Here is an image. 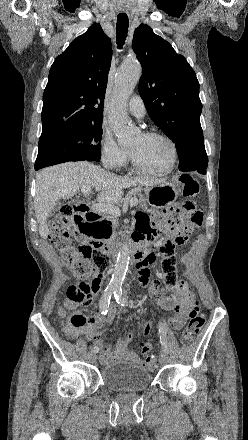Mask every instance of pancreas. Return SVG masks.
I'll use <instances>...</instances> for the list:
<instances>
[{
	"mask_svg": "<svg viewBox=\"0 0 248 440\" xmlns=\"http://www.w3.org/2000/svg\"><path fill=\"white\" fill-rule=\"evenodd\" d=\"M146 198L142 197L141 195L139 196V203L142 207L146 206ZM110 220L112 221L113 225L116 227L117 226V219L116 218H110Z\"/></svg>",
	"mask_w": 248,
	"mask_h": 440,
	"instance_id": "obj_1",
	"label": "pancreas"
}]
</instances>
